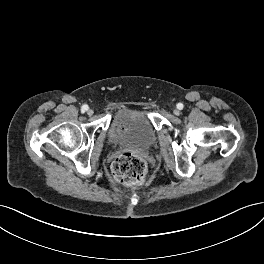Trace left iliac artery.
I'll list each match as a JSON object with an SVG mask.
<instances>
[{
    "label": "left iliac artery",
    "instance_id": "obj_1",
    "mask_svg": "<svg viewBox=\"0 0 264 264\" xmlns=\"http://www.w3.org/2000/svg\"><path fill=\"white\" fill-rule=\"evenodd\" d=\"M183 107H184V106H183V104H182V103H178V104H177V108H178L179 110H182V109H183Z\"/></svg>",
    "mask_w": 264,
    "mask_h": 264
}]
</instances>
